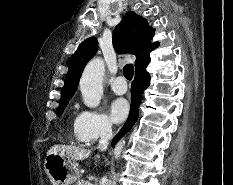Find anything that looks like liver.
Here are the masks:
<instances>
[{
    "mask_svg": "<svg viewBox=\"0 0 233 185\" xmlns=\"http://www.w3.org/2000/svg\"><path fill=\"white\" fill-rule=\"evenodd\" d=\"M59 154L61 156H65L72 161L84 160L89 157L91 154V150L85 148H79L76 146L71 145H64V144H56L50 148L47 154ZM100 156H95V161L99 159Z\"/></svg>",
    "mask_w": 233,
    "mask_h": 185,
    "instance_id": "liver-1",
    "label": "liver"
}]
</instances>
